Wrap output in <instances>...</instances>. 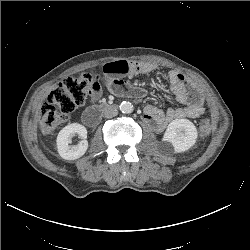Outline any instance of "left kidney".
I'll use <instances>...</instances> for the list:
<instances>
[{
  "label": "left kidney",
  "mask_w": 250,
  "mask_h": 250,
  "mask_svg": "<svg viewBox=\"0 0 250 250\" xmlns=\"http://www.w3.org/2000/svg\"><path fill=\"white\" fill-rule=\"evenodd\" d=\"M197 136V129L190 120L175 119L169 123L163 141L173 147L176 153H182L195 145Z\"/></svg>",
  "instance_id": "5707ae66"
}]
</instances>
